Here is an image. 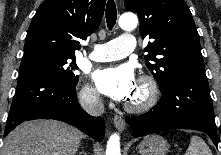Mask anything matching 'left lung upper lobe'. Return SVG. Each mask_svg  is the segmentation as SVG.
<instances>
[{"label": "left lung upper lobe", "instance_id": "1", "mask_svg": "<svg viewBox=\"0 0 221 155\" xmlns=\"http://www.w3.org/2000/svg\"><path fill=\"white\" fill-rule=\"evenodd\" d=\"M127 10L137 13L140 34L151 42L145 63L161 93L178 77L205 73L199 35L184 0H124Z\"/></svg>", "mask_w": 221, "mask_h": 155}]
</instances>
